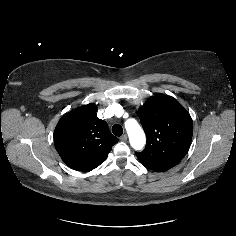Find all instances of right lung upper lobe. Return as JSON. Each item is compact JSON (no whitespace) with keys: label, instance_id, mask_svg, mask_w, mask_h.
Wrapping results in <instances>:
<instances>
[{"label":"right lung upper lobe","instance_id":"obj_1","mask_svg":"<svg viewBox=\"0 0 236 236\" xmlns=\"http://www.w3.org/2000/svg\"><path fill=\"white\" fill-rule=\"evenodd\" d=\"M97 106L88 104L66 113L54 131V144L61 159L70 168L88 172L108 156L118 138L97 117Z\"/></svg>","mask_w":236,"mask_h":236}]
</instances>
